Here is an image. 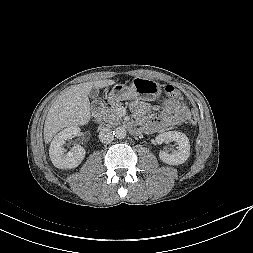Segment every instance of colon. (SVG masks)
<instances>
[{"label": "colon", "instance_id": "obj_1", "mask_svg": "<svg viewBox=\"0 0 253 253\" xmlns=\"http://www.w3.org/2000/svg\"><path fill=\"white\" fill-rule=\"evenodd\" d=\"M165 92L169 95V96H171V97H173V98H179L180 97V92H179V90L178 89H176L174 86H172V85H167L166 87H165ZM197 121H198V117H197V115H196V113H191L190 115H189V117H188V122L190 123V124H192V125H195L196 123H197Z\"/></svg>", "mask_w": 253, "mask_h": 253}]
</instances>
